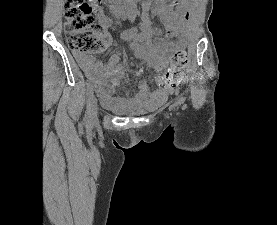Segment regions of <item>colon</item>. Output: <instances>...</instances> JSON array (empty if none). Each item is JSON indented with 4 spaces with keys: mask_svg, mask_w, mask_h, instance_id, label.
Listing matches in <instances>:
<instances>
[{
    "mask_svg": "<svg viewBox=\"0 0 277 225\" xmlns=\"http://www.w3.org/2000/svg\"><path fill=\"white\" fill-rule=\"evenodd\" d=\"M98 0H67L65 5V33L69 48L76 54L102 53L107 45L101 36V29L95 23L92 3ZM187 53L176 51L170 60L165 78L176 83L187 64Z\"/></svg>",
    "mask_w": 277,
    "mask_h": 225,
    "instance_id": "1",
    "label": "colon"
}]
</instances>
